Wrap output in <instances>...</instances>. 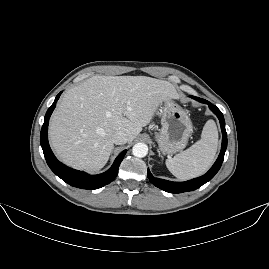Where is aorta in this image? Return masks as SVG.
<instances>
[{
  "label": "aorta",
  "mask_w": 269,
  "mask_h": 269,
  "mask_svg": "<svg viewBox=\"0 0 269 269\" xmlns=\"http://www.w3.org/2000/svg\"><path fill=\"white\" fill-rule=\"evenodd\" d=\"M132 153L137 158H143L148 153V147L144 143H137L133 146Z\"/></svg>",
  "instance_id": "aorta-1"
}]
</instances>
